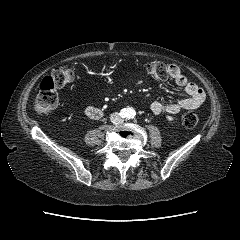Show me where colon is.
Here are the masks:
<instances>
[{
	"instance_id": "obj_1",
	"label": "colon",
	"mask_w": 240,
	"mask_h": 240,
	"mask_svg": "<svg viewBox=\"0 0 240 240\" xmlns=\"http://www.w3.org/2000/svg\"><path fill=\"white\" fill-rule=\"evenodd\" d=\"M146 71L155 79L163 80L169 75V65L164 61H153L146 65ZM75 79L74 71L67 66H58L51 74L44 77L39 92L35 98L34 109L38 113H47L56 108L58 104V89L63 88ZM199 122V115L189 112L183 117V124L193 128Z\"/></svg>"
}]
</instances>
